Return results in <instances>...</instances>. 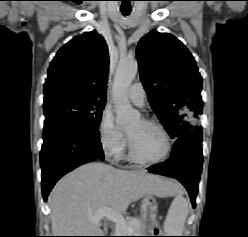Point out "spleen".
<instances>
[{"mask_svg":"<svg viewBox=\"0 0 248 237\" xmlns=\"http://www.w3.org/2000/svg\"><path fill=\"white\" fill-rule=\"evenodd\" d=\"M187 215L188 202L181 193H177L164 222L166 236H182Z\"/></svg>","mask_w":248,"mask_h":237,"instance_id":"obj_1","label":"spleen"}]
</instances>
